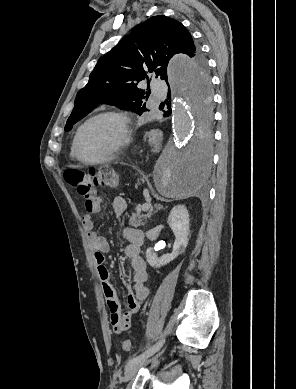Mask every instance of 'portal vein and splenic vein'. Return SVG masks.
I'll return each mask as SVG.
<instances>
[{
    "label": "portal vein and splenic vein",
    "mask_w": 296,
    "mask_h": 389,
    "mask_svg": "<svg viewBox=\"0 0 296 389\" xmlns=\"http://www.w3.org/2000/svg\"><path fill=\"white\" fill-rule=\"evenodd\" d=\"M150 208H151V204H150V203H145V204H143V206L140 208V210L146 212V211H148Z\"/></svg>",
    "instance_id": "obj_1"
}]
</instances>
